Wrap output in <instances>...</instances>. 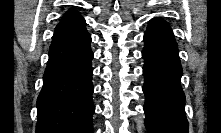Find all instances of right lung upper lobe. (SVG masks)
<instances>
[{"instance_id": "cb5924a9", "label": "right lung upper lobe", "mask_w": 221, "mask_h": 133, "mask_svg": "<svg viewBox=\"0 0 221 133\" xmlns=\"http://www.w3.org/2000/svg\"><path fill=\"white\" fill-rule=\"evenodd\" d=\"M88 34L84 18L75 10L70 9L56 26L52 42H69L79 40Z\"/></svg>"}]
</instances>
